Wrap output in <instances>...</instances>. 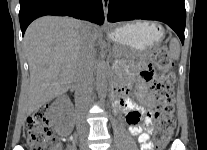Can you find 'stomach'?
<instances>
[{
    "mask_svg": "<svg viewBox=\"0 0 207 150\" xmlns=\"http://www.w3.org/2000/svg\"><path fill=\"white\" fill-rule=\"evenodd\" d=\"M108 35L116 48L121 49L117 54L118 58L129 61L148 52L155 44L161 42L164 28L158 22L136 21L116 25Z\"/></svg>",
    "mask_w": 207,
    "mask_h": 150,
    "instance_id": "0dacf381",
    "label": "stomach"
}]
</instances>
